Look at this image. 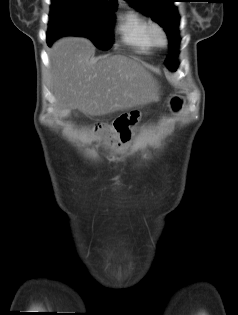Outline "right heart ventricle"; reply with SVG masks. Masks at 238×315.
<instances>
[{
	"label": "right heart ventricle",
	"instance_id": "1",
	"mask_svg": "<svg viewBox=\"0 0 238 315\" xmlns=\"http://www.w3.org/2000/svg\"><path fill=\"white\" fill-rule=\"evenodd\" d=\"M151 23L137 12H129L120 25L125 43L141 52H148L155 46L151 40L149 29Z\"/></svg>",
	"mask_w": 238,
	"mask_h": 315
}]
</instances>
